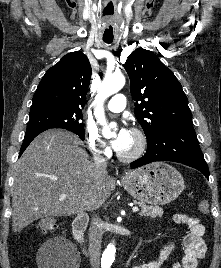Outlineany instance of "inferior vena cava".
<instances>
[{"instance_id":"602c4592","label":"inferior vena cava","mask_w":221,"mask_h":268,"mask_svg":"<svg viewBox=\"0 0 221 268\" xmlns=\"http://www.w3.org/2000/svg\"><path fill=\"white\" fill-rule=\"evenodd\" d=\"M94 165L98 173L103 174L106 173V167H107L106 159L99 153L94 154ZM88 237H89L90 264L92 268H99L100 255H101L102 229L100 226V219L97 216H95L91 222Z\"/></svg>"}]
</instances>
